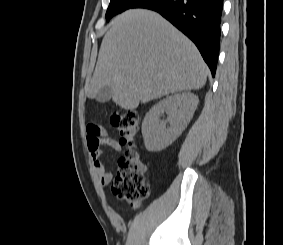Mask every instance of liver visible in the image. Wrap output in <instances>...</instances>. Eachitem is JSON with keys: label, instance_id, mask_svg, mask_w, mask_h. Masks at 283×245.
I'll return each mask as SVG.
<instances>
[{"label": "liver", "instance_id": "1", "mask_svg": "<svg viewBox=\"0 0 283 245\" xmlns=\"http://www.w3.org/2000/svg\"><path fill=\"white\" fill-rule=\"evenodd\" d=\"M207 66L196 46L156 12L130 9L105 34L87 95L112 88L113 102L134 110L170 93L197 90Z\"/></svg>", "mask_w": 283, "mask_h": 245}]
</instances>
